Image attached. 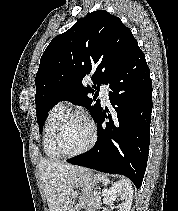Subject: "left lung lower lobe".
Returning <instances> with one entry per match:
<instances>
[{
    "label": "left lung lower lobe",
    "instance_id": "0a47b994",
    "mask_svg": "<svg viewBox=\"0 0 178 211\" xmlns=\"http://www.w3.org/2000/svg\"><path fill=\"white\" fill-rule=\"evenodd\" d=\"M110 113L101 109L95 121L93 149L67 162L97 171L122 174L140 188L147 166L152 112V83L144 53L137 45L108 81ZM109 122L103 125L104 119Z\"/></svg>",
    "mask_w": 178,
    "mask_h": 211
}]
</instances>
